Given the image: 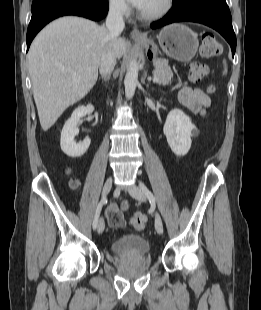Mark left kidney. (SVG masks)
<instances>
[{"label":"left kidney","mask_w":261,"mask_h":310,"mask_svg":"<svg viewBox=\"0 0 261 310\" xmlns=\"http://www.w3.org/2000/svg\"><path fill=\"white\" fill-rule=\"evenodd\" d=\"M163 132L173 153L182 157L190 150L191 137L197 134V128L183 111L173 109L167 115Z\"/></svg>","instance_id":"5707ae66"}]
</instances>
